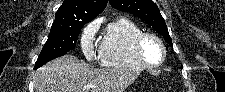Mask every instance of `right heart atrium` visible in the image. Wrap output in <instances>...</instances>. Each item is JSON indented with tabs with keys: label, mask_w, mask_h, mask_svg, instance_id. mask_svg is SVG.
I'll use <instances>...</instances> for the list:
<instances>
[{
	"label": "right heart atrium",
	"mask_w": 225,
	"mask_h": 92,
	"mask_svg": "<svg viewBox=\"0 0 225 92\" xmlns=\"http://www.w3.org/2000/svg\"><path fill=\"white\" fill-rule=\"evenodd\" d=\"M98 32V23L96 21L88 23L80 35L81 50L88 61H93L98 54V45L96 35Z\"/></svg>",
	"instance_id": "1"
}]
</instances>
